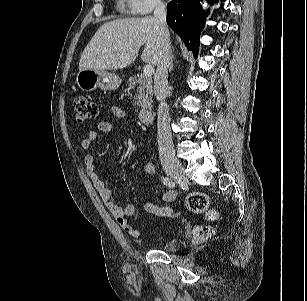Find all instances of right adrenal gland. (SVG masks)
Returning <instances> with one entry per match:
<instances>
[{
  "instance_id": "2a0ac1e0",
  "label": "right adrenal gland",
  "mask_w": 307,
  "mask_h": 301,
  "mask_svg": "<svg viewBox=\"0 0 307 301\" xmlns=\"http://www.w3.org/2000/svg\"><path fill=\"white\" fill-rule=\"evenodd\" d=\"M173 59H174V55H173ZM173 59H172L171 65H170V70L173 68Z\"/></svg>"
}]
</instances>
